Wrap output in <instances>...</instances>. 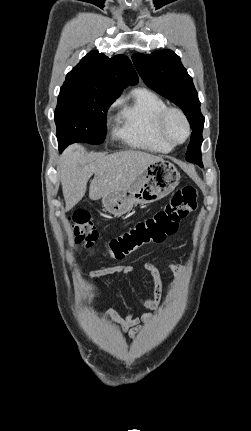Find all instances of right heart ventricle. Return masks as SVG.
<instances>
[{"label":"right heart ventricle","instance_id":"right-heart-ventricle-1","mask_svg":"<svg viewBox=\"0 0 251 431\" xmlns=\"http://www.w3.org/2000/svg\"><path fill=\"white\" fill-rule=\"evenodd\" d=\"M167 107L165 101L156 93L138 88L128 99L120 102L114 133L132 147L154 153L166 154L173 147L165 143L157 132V118Z\"/></svg>","mask_w":251,"mask_h":431}]
</instances>
